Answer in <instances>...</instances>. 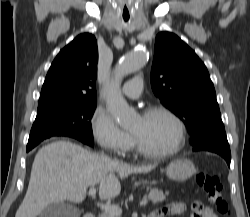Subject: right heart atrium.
Returning <instances> with one entry per match:
<instances>
[{"label": "right heart atrium", "instance_id": "obj_1", "mask_svg": "<svg viewBox=\"0 0 250 217\" xmlns=\"http://www.w3.org/2000/svg\"><path fill=\"white\" fill-rule=\"evenodd\" d=\"M90 130L94 140L106 151L115 154L128 152L133 139L119 127L114 118L103 108H95L90 119Z\"/></svg>", "mask_w": 250, "mask_h": 217}]
</instances>
